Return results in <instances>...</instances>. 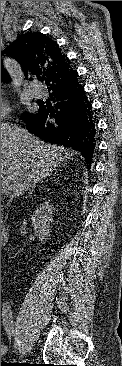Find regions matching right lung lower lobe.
I'll list each match as a JSON object with an SVG mask.
<instances>
[{"instance_id": "98d812e1", "label": "right lung lower lobe", "mask_w": 122, "mask_h": 366, "mask_svg": "<svg viewBox=\"0 0 122 366\" xmlns=\"http://www.w3.org/2000/svg\"><path fill=\"white\" fill-rule=\"evenodd\" d=\"M53 106L40 103L39 111L25 114L26 129L40 139L76 150L91 167L96 129L91 104L78 73L67 83L48 88Z\"/></svg>"}]
</instances>
